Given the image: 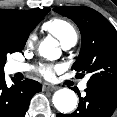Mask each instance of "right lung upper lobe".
Masks as SVG:
<instances>
[{"label":"right lung upper lobe","instance_id":"right-lung-upper-lobe-1","mask_svg":"<svg viewBox=\"0 0 117 117\" xmlns=\"http://www.w3.org/2000/svg\"><path fill=\"white\" fill-rule=\"evenodd\" d=\"M46 10L50 11V8L32 10L0 9V20H7L20 24L30 33L36 27V18L42 11ZM3 74L4 73L0 71V75Z\"/></svg>","mask_w":117,"mask_h":117}]
</instances>
